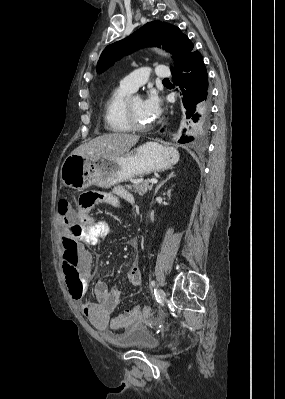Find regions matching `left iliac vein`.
Listing matches in <instances>:
<instances>
[{
	"label": "left iliac vein",
	"mask_w": 285,
	"mask_h": 399,
	"mask_svg": "<svg viewBox=\"0 0 285 399\" xmlns=\"http://www.w3.org/2000/svg\"><path fill=\"white\" fill-rule=\"evenodd\" d=\"M158 294H159L160 300H161L162 302H164L165 297H166L164 290L160 288L159 291H158Z\"/></svg>",
	"instance_id": "left-iliac-vein-1"
}]
</instances>
